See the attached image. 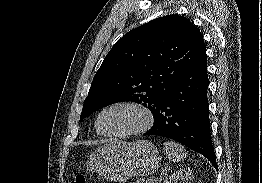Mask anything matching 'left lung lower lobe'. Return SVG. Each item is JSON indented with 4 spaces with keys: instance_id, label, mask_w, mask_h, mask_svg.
Wrapping results in <instances>:
<instances>
[{
    "instance_id": "1",
    "label": "left lung lower lobe",
    "mask_w": 262,
    "mask_h": 183,
    "mask_svg": "<svg viewBox=\"0 0 262 183\" xmlns=\"http://www.w3.org/2000/svg\"><path fill=\"white\" fill-rule=\"evenodd\" d=\"M206 50L179 77L161 103L147 136L171 138L205 156L217 170L208 114Z\"/></svg>"
}]
</instances>
